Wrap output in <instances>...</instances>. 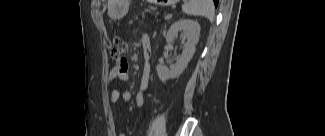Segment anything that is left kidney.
I'll return each mask as SVG.
<instances>
[{
	"label": "left kidney",
	"instance_id": "5707ae66",
	"mask_svg": "<svg viewBox=\"0 0 325 136\" xmlns=\"http://www.w3.org/2000/svg\"><path fill=\"white\" fill-rule=\"evenodd\" d=\"M178 33H181L187 41L183 44L182 54L174 66L169 69L163 65H157V75L162 82L178 78L183 73L195 53V46L200 36V25L190 19H180L171 25L166 35V42L173 43Z\"/></svg>",
	"mask_w": 325,
	"mask_h": 136
}]
</instances>
